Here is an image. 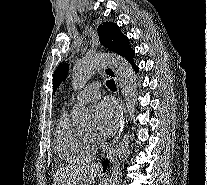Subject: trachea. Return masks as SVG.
Returning a JSON list of instances; mask_svg holds the SVG:
<instances>
[{"instance_id": "obj_1", "label": "trachea", "mask_w": 207, "mask_h": 185, "mask_svg": "<svg viewBox=\"0 0 207 185\" xmlns=\"http://www.w3.org/2000/svg\"><path fill=\"white\" fill-rule=\"evenodd\" d=\"M107 86H108V88H110V90H116L114 80H108L107 81Z\"/></svg>"}]
</instances>
